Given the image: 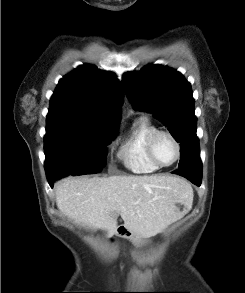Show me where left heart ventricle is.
<instances>
[{
  "instance_id": "b2bd125f",
  "label": "left heart ventricle",
  "mask_w": 245,
  "mask_h": 293,
  "mask_svg": "<svg viewBox=\"0 0 245 293\" xmlns=\"http://www.w3.org/2000/svg\"><path fill=\"white\" fill-rule=\"evenodd\" d=\"M155 154L162 164L171 163L176 155L172 141L166 136L159 137L155 144Z\"/></svg>"
}]
</instances>
